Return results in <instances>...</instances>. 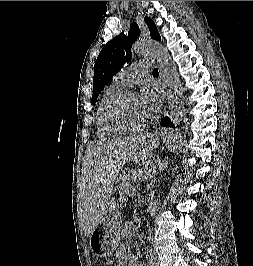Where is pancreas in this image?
<instances>
[{
    "label": "pancreas",
    "instance_id": "pancreas-1",
    "mask_svg": "<svg viewBox=\"0 0 253 266\" xmlns=\"http://www.w3.org/2000/svg\"><path fill=\"white\" fill-rule=\"evenodd\" d=\"M137 178V181H141L142 176L138 174L128 175L121 183H120V201L127 202V197L132 198L135 195V186L134 181Z\"/></svg>",
    "mask_w": 253,
    "mask_h": 266
}]
</instances>
